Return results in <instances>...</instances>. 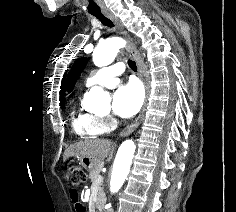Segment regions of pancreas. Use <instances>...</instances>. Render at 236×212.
Here are the masks:
<instances>
[{
    "instance_id": "pancreas-1",
    "label": "pancreas",
    "mask_w": 236,
    "mask_h": 212,
    "mask_svg": "<svg viewBox=\"0 0 236 212\" xmlns=\"http://www.w3.org/2000/svg\"><path fill=\"white\" fill-rule=\"evenodd\" d=\"M100 170H101V165H98L97 167H95L93 170L90 171L89 178L92 183L96 182V179L100 174ZM99 197L104 198V192L102 188L99 189ZM102 206L103 204L101 202L97 203V207H102Z\"/></svg>"
}]
</instances>
